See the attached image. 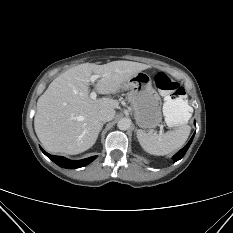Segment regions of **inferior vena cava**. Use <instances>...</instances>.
Returning a JSON list of instances; mask_svg holds the SVG:
<instances>
[{
    "mask_svg": "<svg viewBox=\"0 0 233 233\" xmlns=\"http://www.w3.org/2000/svg\"><path fill=\"white\" fill-rule=\"evenodd\" d=\"M115 116L114 109H101L98 112V117L103 122L111 121Z\"/></svg>",
    "mask_w": 233,
    "mask_h": 233,
    "instance_id": "602c4592",
    "label": "inferior vena cava"
}]
</instances>
